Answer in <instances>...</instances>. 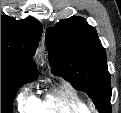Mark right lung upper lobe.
Wrapping results in <instances>:
<instances>
[{
	"mask_svg": "<svg viewBox=\"0 0 121 113\" xmlns=\"http://www.w3.org/2000/svg\"><path fill=\"white\" fill-rule=\"evenodd\" d=\"M41 33V24L32 17L15 20L12 17L1 15V62L37 78L39 72L32 56Z\"/></svg>",
	"mask_w": 121,
	"mask_h": 113,
	"instance_id": "obj_1",
	"label": "right lung upper lobe"
}]
</instances>
